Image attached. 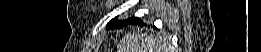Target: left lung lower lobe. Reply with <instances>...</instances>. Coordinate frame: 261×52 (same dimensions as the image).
<instances>
[{
	"instance_id": "0a47b994",
	"label": "left lung lower lobe",
	"mask_w": 261,
	"mask_h": 52,
	"mask_svg": "<svg viewBox=\"0 0 261 52\" xmlns=\"http://www.w3.org/2000/svg\"><path fill=\"white\" fill-rule=\"evenodd\" d=\"M139 22H142L141 19L135 21L134 23H129V24H135V23L137 24V23H139ZM118 27H119V26H118Z\"/></svg>"
}]
</instances>
